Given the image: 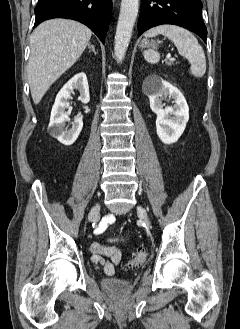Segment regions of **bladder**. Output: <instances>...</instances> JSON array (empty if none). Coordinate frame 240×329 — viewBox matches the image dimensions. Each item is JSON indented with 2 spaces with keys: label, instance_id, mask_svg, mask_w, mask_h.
<instances>
[{
  "label": "bladder",
  "instance_id": "1",
  "mask_svg": "<svg viewBox=\"0 0 240 329\" xmlns=\"http://www.w3.org/2000/svg\"><path fill=\"white\" fill-rule=\"evenodd\" d=\"M101 285L106 292L114 295H125L133 288L129 281L117 277L105 279Z\"/></svg>",
  "mask_w": 240,
  "mask_h": 329
}]
</instances>
